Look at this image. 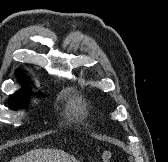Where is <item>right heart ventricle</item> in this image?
<instances>
[{"mask_svg": "<svg viewBox=\"0 0 168 162\" xmlns=\"http://www.w3.org/2000/svg\"><path fill=\"white\" fill-rule=\"evenodd\" d=\"M70 110L73 114L77 116H84L86 114L85 106L83 105L81 99L72 101L70 104Z\"/></svg>", "mask_w": 168, "mask_h": 162, "instance_id": "1", "label": "right heart ventricle"}]
</instances>
